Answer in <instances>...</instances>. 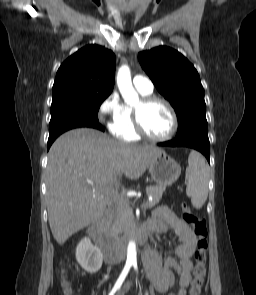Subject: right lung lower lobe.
<instances>
[{"label":"right lung lower lobe","mask_w":256,"mask_h":295,"mask_svg":"<svg viewBox=\"0 0 256 295\" xmlns=\"http://www.w3.org/2000/svg\"><path fill=\"white\" fill-rule=\"evenodd\" d=\"M78 127H90V128H95V129L104 131V128L101 124H99L98 119H89V120L80 121V122H67V123L56 124L52 127H49V139H48L47 148L48 149L50 148L51 144L60 134H62L63 132L67 130L78 128Z\"/></svg>","instance_id":"obj_1"}]
</instances>
